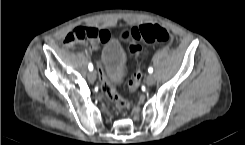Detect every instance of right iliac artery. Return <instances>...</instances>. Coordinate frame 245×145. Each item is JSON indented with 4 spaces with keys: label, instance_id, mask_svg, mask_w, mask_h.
I'll return each instance as SVG.
<instances>
[{
    "label": "right iliac artery",
    "instance_id": "1",
    "mask_svg": "<svg viewBox=\"0 0 245 145\" xmlns=\"http://www.w3.org/2000/svg\"><path fill=\"white\" fill-rule=\"evenodd\" d=\"M88 68H89L90 71L93 70V65H92V63L89 64Z\"/></svg>",
    "mask_w": 245,
    "mask_h": 145
}]
</instances>
